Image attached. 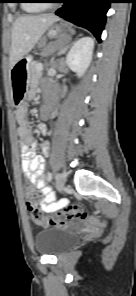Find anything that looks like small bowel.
Wrapping results in <instances>:
<instances>
[{
  "label": "small bowel",
  "mask_w": 136,
  "mask_h": 296,
  "mask_svg": "<svg viewBox=\"0 0 136 296\" xmlns=\"http://www.w3.org/2000/svg\"><path fill=\"white\" fill-rule=\"evenodd\" d=\"M33 94L30 93V98ZM27 107L21 106L16 111V120L18 123V136L21 142V156H22V172L26 181L35 185L42 191L44 199L41 202V210L44 212H53L67 204L66 200H54L55 193L46 184L43 177L45 163L44 158L35 154L37 142L33 138L30 126L27 120ZM42 116H45L43 113ZM38 130L42 133L47 132L44 125H39ZM48 144L44 145V150H47Z\"/></svg>",
  "instance_id": "c3829d8e"
}]
</instances>
